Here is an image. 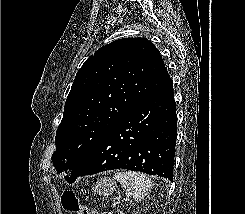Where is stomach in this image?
I'll return each mask as SVG.
<instances>
[{"mask_svg":"<svg viewBox=\"0 0 245 214\" xmlns=\"http://www.w3.org/2000/svg\"><path fill=\"white\" fill-rule=\"evenodd\" d=\"M116 183L111 178H102L92 187L93 191L99 195H110L116 189Z\"/></svg>","mask_w":245,"mask_h":214,"instance_id":"obj_1","label":"stomach"}]
</instances>
